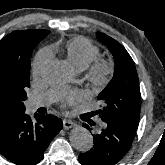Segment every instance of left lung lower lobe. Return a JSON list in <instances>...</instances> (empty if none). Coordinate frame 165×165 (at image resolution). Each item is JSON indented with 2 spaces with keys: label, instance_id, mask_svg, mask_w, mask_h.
<instances>
[{
  "label": "left lung lower lobe",
  "instance_id": "obj_1",
  "mask_svg": "<svg viewBox=\"0 0 165 165\" xmlns=\"http://www.w3.org/2000/svg\"><path fill=\"white\" fill-rule=\"evenodd\" d=\"M83 126L91 130L88 125ZM134 135L119 126L105 123L101 131L93 135V148L80 154L79 162L82 165H114L128 152Z\"/></svg>",
  "mask_w": 165,
  "mask_h": 165
}]
</instances>
